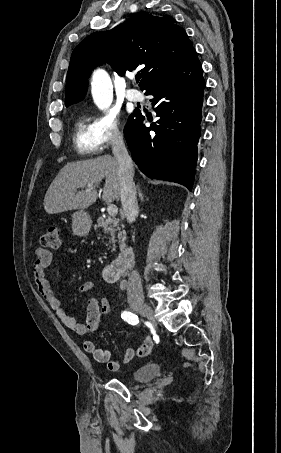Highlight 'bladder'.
Returning a JSON list of instances; mask_svg holds the SVG:
<instances>
[{
    "mask_svg": "<svg viewBox=\"0 0 281 453\" xmlns=\"http://www.w3.org/2000/svg\"><path fill=\"white\" fill-rule=\"evenodd\" d=\"M161 371V367L157 363H149L137 368L131 374L133 381H148L157 376Z\"/></svg>",
    "mask_w": 281,
    "mask_h": 453,
    "instance_id": "31cf9c89",
    "label": "bladder"
}]
</instances>
